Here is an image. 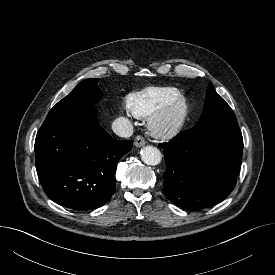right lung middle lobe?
I'll return each instance as SVG.
<instances>
[{
	"instance_id": "1",
	"label": "right lung middle lobe",
	"mask_w": 275,
	"mask_h": 275,
	"mask_svg": "<svg viewBox=\"0 0 275 275\" xmlns=\"http://www.w3.org/2000/svg\"><path fill=\"white\" fill-rule=\"evenodd\" d=\"M97 82L98 79H86L79 83L51 109L44 123L62 120L94 109L93 104L101 98Z\"/></svg>"
}]
</instances>
